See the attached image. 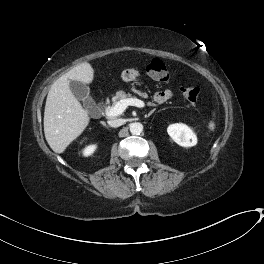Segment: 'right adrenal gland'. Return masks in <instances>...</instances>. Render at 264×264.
Wrapping results in <instances>:
<instances>
[{
    "label": "right adrenal gland",
    "instance_id": "right-adrenal-gland-1",
    "mask_svg": "<svg viewBox=\"0 0 264 264\" xmlns=\"http://www.w3.org/2000/svg\"><path fill=\"white\" fill-rule=\"evenodd\" d=\"M101 124H102L104 127L108 128V126L106 125L105 122H101Z\"/></svg>",
    "mask_w": 264,
    "mask_h": 264
}]
</instances>
